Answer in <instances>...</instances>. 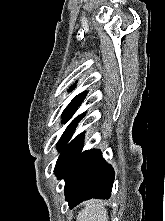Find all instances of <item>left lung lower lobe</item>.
Wrapping results in <instances>:
<instances>
[{"label":"left lung lower lobe","mask_w":165,"mask_h":221,"mask_svg":"<svg viewBox=\"0 0 165 221\" xmlns=\"http://www.w3.org/2000/svg\"><path fill=\"white\" fill-rule=\"evenodd\" d=\"M75 128L76 125L59 140L61 154L54 169L58 179L65 180V199L71 209L90 198H110L115 178L112 166L105 162L99 150L81 153L84 133L66 144Z\"/></svg>","instance_id":"0a47b994"}]
</instances>
